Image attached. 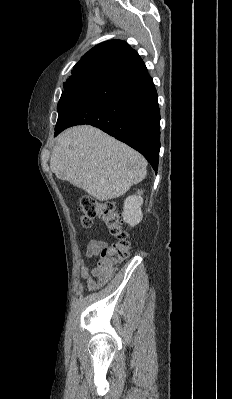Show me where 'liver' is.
Instances as JSON below:
<instances>
[{"label":"liver","instance_id":"liver-1","mask_svg":"<svg viewBox=\"0 0 232 399\" xmlns=\"http://www.w3.org/2000/svg\"><path fill=\"white\" fill-rule=\"evenodd\" d=\"M141 154L92 126H76L62 132L50 158L51 172L82 188L96 200L126 194L147 176Z\"/></svg>","mask_w":232,"mask_h":399}]
</instances>
